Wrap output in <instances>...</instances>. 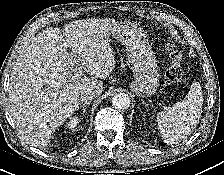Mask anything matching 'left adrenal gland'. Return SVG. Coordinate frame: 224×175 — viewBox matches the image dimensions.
<instances>
[{"instance_id": "left-adrenal-gland-1", "label": "left adrenal gland", "mask_w": 224, "mask_h": 175, "mask_svg": "<svg viewBox=\"0 0 224 175\" xmlns=\"http://www.w3.org/2000/svg\"><path fill=\"white\" fill-rule=\"evenodd\" d=\"M141 101H142V103L144 104V105H148V103L147 102H145L143 99H141Z\"/></svg>"}]
</instances>
